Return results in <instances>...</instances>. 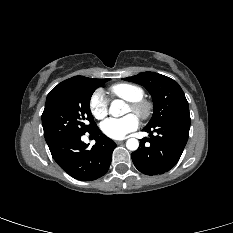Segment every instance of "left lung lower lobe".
<instances>
[{"label": "left lung lower lobe", "mask_w": 233, "mask_h": 233, "mask_svg": "<svg viewBox=\"0 0 233 233\" xmlns=\"http://www.w3.org/2000/svg\"><path fill=\"white\" fill-rule=\"evenodd\" d=\"M190 123V114L183 113L151 128H144L150 133V138H143L138 150L131 154L135 167L146 175L168 172L181 157L188 140Z\"/></svg>", "instance_id": "1"}]
</instances>
